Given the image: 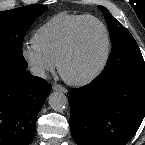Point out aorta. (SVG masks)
I'll return each mask as SVG.
<instances>
[{
	"mask_svg": "<svg viewBox=\"0 0 145 145\" xmlns=\"http://www.w3.org/2000/svg\"><path fill=\"white\" fill-rule=\"evenodd\" d=\"M49 104L55 111H62L68 105V98L62 92H54L49 96Z\"/></svg>",
	"mask_w": 145,
	"mask_h": 145,
	"instance_id": "1",
	"label": "aorta"
}]
</instances>
